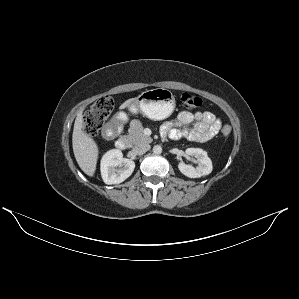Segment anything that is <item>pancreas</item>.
<instances>
[{
	"label": "pancreas",
	"mask_w": 299,
	"mask_h": 299,
	"mask_svg": "<svg viewBox=\"0 0 299 299\" xmlns=\"http://www.w3.org/2000/svg\"><path fill=\"white\" fill-rule=\"evenodd\" d=\"M127 138L132 145L148 144L152 142V138L143 133V126L135 122H131Z\"/></svg>",
	"instance_id": "pancreas-1"
}]
</instances>
